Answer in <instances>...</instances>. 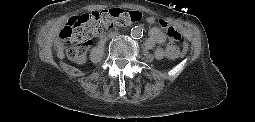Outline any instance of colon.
Segmentation results:
<instances>
[{
  "label": "colon",
  "mask_w": 255,
  "mask_h": 122,
  "mask_svg": "<svg viewBox=\"0 0 255 122\" xmlns=\"http://www.w3.org/2000/svg\"><path fill=\"white\" fill-rule=\"evenodd\" d=\"M142 13L139 11L113 8L103 11H93L73 18L60 33L61 39L66 44L67 56L74 62L82 63L86 60L92 37L104 29L114 26H125L139 22ZM166 29L169 42L165 48V57L175 60L180 54L178 40L180 34L166 23H160Z\"/></svg>",
  "instance_id": "1"
}]
</instances>
